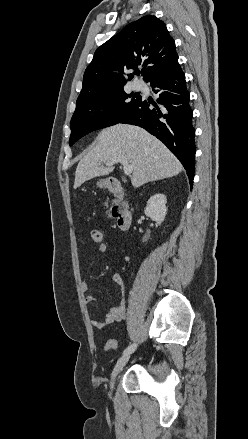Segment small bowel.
I'll list each match as a JSON object with an SVG mask.
<instances>
[{"label":"small bowel","mask_w":248,"mask_h":439,"mask_svg":"<svg viewBox=\"0 0 248 439\" xmlns=\"http://www.w3.org/2000/svg\"><path fill=\"white\" fill-rule=\"evenodd\" d=\"M106 251H107L106 243H101L98 246L97 252L99 254H104ZM111 281L120 289L121 297H120L118 304L115 306H112L108 310V312L105 315L104 320H102V321L97 320V319L91 320V325L97 329H103L110 324L121 322L126 318V302L124 299V287H125L124 280H123L121 274L114 273L112 278H111ZM81 289L84 293H86L88 291V286L85 282L81 283ZM96 300H97L96 297L93 295L88 294L85 296L86 303H93Z\"/></svg>","instance_id":"c3829d8e"}]
</instances>
